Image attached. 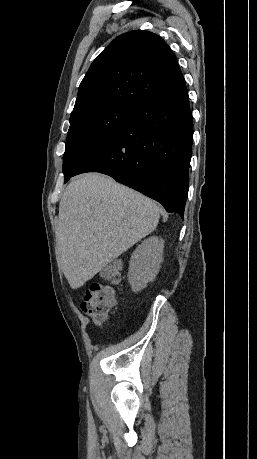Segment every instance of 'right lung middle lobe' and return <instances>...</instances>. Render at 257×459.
Masks as SVG:
<instances>
[{
    "label": "right lung middle lobe",
    "instance_id": "right-lung-middle-lobe-1",
    "mask_svg": "<svg viewBox=\"0 0 257 459\" xmlns=\"http://www.w3.org/2000/svg\"><path fill=\"white\" fill-rule=\"evenodd\" d=\"M135 108L109 106L70 121L63 157L65 179L107 145L131 120Z\"/></svg>",
    "mask_w": 257,
    "mask_h": 459
}]
</instances>
